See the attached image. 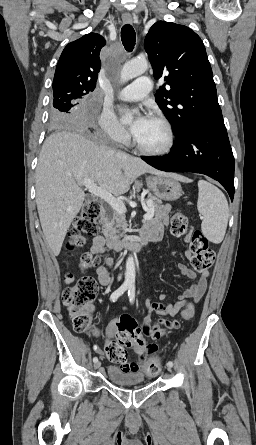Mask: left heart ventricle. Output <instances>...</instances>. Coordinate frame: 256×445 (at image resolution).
<instances>
[{
    "mask_svg": "<svg viewBox=\"0 0 256 445\" xmlns=\"http://www.w3.org/2000/svg\"><path fill=\"white\" fill-rule=\"evenodd\" d=\"M135 138L139 144L148 149L162 148L167 142V134L164 127L152 119H149Z\"/></svg>",
    "mask_w": 256,
    "mask_h": 445,
    "instance_id": "obj_1",
    "label": "left heart ventricle"
}]
</instances>
